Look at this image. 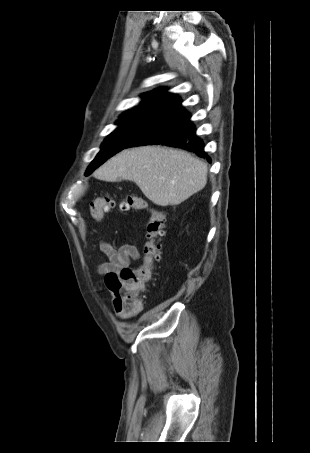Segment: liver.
<instances>
[{
	"mask_svg": "<svg viewBox=\"0 0 310 453\" xmlns=\"http://www.w3.org/2000/svg\"><path fill=\"white\" fill-rule=\"evenodd\" d=\"M207 165L191 154L160 146L126 149L93 174L99 180L134 181L159 206L179 205L207 183Z\"/></svg>",
	"mask_w": 310,
	"mask_h": 453,
	"instance_id": "1",
	"label": "liver"
}]
</instances>
